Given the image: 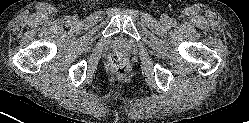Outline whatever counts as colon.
Instances as JSON below:
<instances>
[{
  "instance_id": "colon-1",
  "label": "colon",
  "mask_w": 249,
  "mask_h": 123,
  "mask_svg": "<svg viewBox=\"0 0 249 123\" xmlns=\"http://www.w3.org/2000/svg\"><path fill=\"white\" fill-rule=\"evenodd\" d=\"M109 73L116 79H125L130 72V63L124 53L117 52L110 56L107 62Z\"/></svg>"
}]
</instances>
